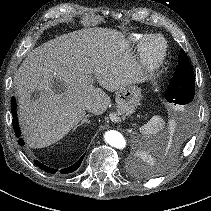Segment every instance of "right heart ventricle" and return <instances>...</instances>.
Masks as SVG:
<instances>
[{
  "instance_id": "right-heart-ventricle-1",
  "label": "right heart ventricle",
  "mask_w": 211,
  "mask_h": 211,
  "mask_svg": "<svg viewBox=\"0 0 211 211\" xmlns=\"http://www.w3.org/2000/svg\"><path fill=\"white\" fill-rule=\"evenodd\" d=\"M145 36H147V35H145V34H133V35H131L130 38H131L133 43L138 44V43H140L143 40V38Z\"/></svg>"
}]
</instances>
